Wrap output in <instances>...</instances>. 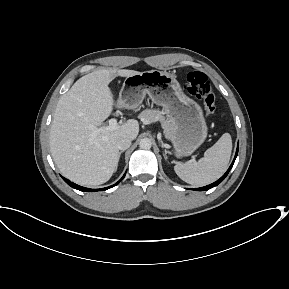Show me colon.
Returning a JSON list of instances; mask_svg holds the SVG:
<instances>
[{
	"mask_svg": "<svg viewBox=\"0 0 289 289\" xmlns=\"http://www.w3.org/2000/svg\"><path fill=\"white\" fill-rule=\"evenodd\" d=\"M184 90L203 100L206 115L210 116L216 109V94L207 76L198 71L189 72L185 76Z\"/></svg>",
	"mask_w": 289,
	"mask_h": 289,
	"instance_id": "1",
	"label": "colon"
}]
</instances>
